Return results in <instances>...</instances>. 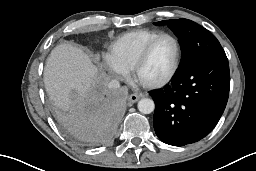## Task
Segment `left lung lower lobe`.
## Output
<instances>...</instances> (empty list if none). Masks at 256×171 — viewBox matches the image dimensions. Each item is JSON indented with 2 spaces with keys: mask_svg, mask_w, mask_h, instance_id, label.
Listing matches in <instances>:
<instances>
[{
  "mask_svg": "<svg viewBox=\"0 0 256 171\" xmlns=\"http://www.w3.org/2000/svg\"><path fill=\"white\" fill-rule=\"evenodd\" d=\"M229 87L227 57L203 59L179 69L169 85L150 92L156 135L173 146L204 138L223 114Z\"/></svg>",
  "mask_w": 256,
  "mask_h": 171,
  "instance_id": "obj_1",
  "label": "left lung lower lobe"
}]
</instances>
